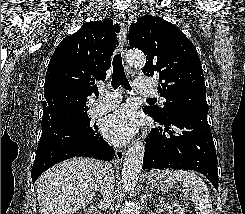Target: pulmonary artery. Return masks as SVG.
Wrapping results in <instances>:
<instances>
[{
  "mask_svg": "<svg viewBox=\"0 0 245 214\" xmlns=\"http://www.w3.org/2000/svg\"><path fill=\"white\" fill-rule=\"evenodd\" d=\"M134 87L135 90L142 95L145 96L156 95L155 84L150 79L137 78L134 81ZM120 100H121V95L119 93L103 90L101 92V97L99 98L96 104V110L99 113H103L108 110H111L118 105ZM161 101L164 102L165 100L161 98Z\"/></svg>",
  "mask_w": 245,
  "mask_h": 214,
  "instance_id": "1",
  "label": "pulmonary artery"
}]
</instances>
